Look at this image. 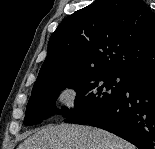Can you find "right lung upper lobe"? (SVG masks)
I'll list each match as a JSON object with an SVG mask.
<instances>
[{
  "label": "right lung upper lobe",
  "mask_w": 155,
  "mask_h": 149,
  "mask_svg": "<svg viewBox=\"0 0 155 149\" xmlns=\"http://www.w3.org/2000/svg\"><path fill=\"white\" fill-rule=\"evenodd\" d=\"M155 68V15L143 0H97L50 37L37 81L65 72L128 75Z\"/></svg>",
  "instance_id": "obj_1"
}]
</instances>
